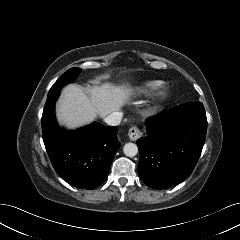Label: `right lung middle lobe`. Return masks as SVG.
I'll use <instances>...</instances> for the list:
<instances>
[{"mask_svg":"<svg viewBox=\"0 0 240 240\" xmlns=\"http://www.w3.org/2000/svg\"><path fill=\"white\" fill-rule=\"evenodd\" d=\"M81 71L80 68L73 67L69 70H67L52 86L50 89L48 95H50L53 92L60 91V89L67 83H71L75 80L77 77V74Z\"/></svg>","mask_w":240,"mask_h":240,"instance_id":"dd1d6c3e","label":"right lung middle lobe"}]
</instances>
